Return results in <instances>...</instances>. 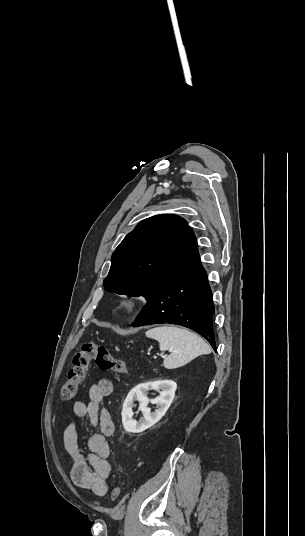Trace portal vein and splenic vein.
<instances>
[{"label":"portal vein and splenic vein","mask_w":305,"mask_h":536,"mask_svg":"<svg viewBox=\"0 0 305 536\" xmlns=\"http://www.w3.org/2000/svg\"><path fill=\"white\" fill-rule=\"evenodd\" d=\"M169 352H171V350H169ZM159 356H161V358H166V356H163V354H159Z\"/></svg>","instance_id":"obj_1"}]
</instances>
